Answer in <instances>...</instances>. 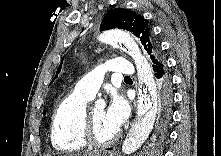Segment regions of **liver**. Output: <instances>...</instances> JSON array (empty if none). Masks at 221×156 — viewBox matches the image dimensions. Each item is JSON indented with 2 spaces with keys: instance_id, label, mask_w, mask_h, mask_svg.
<instances>
[{
  "instance_id": "liver-1",
  "label": "liver",
  "mask_w": 221,
  "mask_h": 156,
  "mask_svg": "<svg viewBox=\"0 0 221 156\" xmlns=\"http://www.w3.org/2000/svg\"><path fill=\"white\" fill-rule=\"evenodd\" d=\"M100 153L99 152H91V153H83V154H75V155H71V156H99Z\"/></svg>"
}]
</instances>
